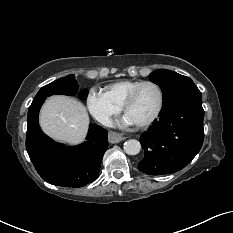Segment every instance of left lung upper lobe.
Segmentation results:
<instances>
[{"instance_id":"5c2ea615","label":"left lung upper lobe","mask_w":233,"mask_h":233,"mask_svg":"<svg viewBox=\"0 0 233 233\" xmlns=\"http://www.w3.org/2000/svg\"><path fill=\"white\" fill-rule=\"evenodd\" d=\"M149 79L160 86L163 93V109L189 98H202L194 82L186 76L166 69L152 72Z\"/></svg>"}]
</instances>
